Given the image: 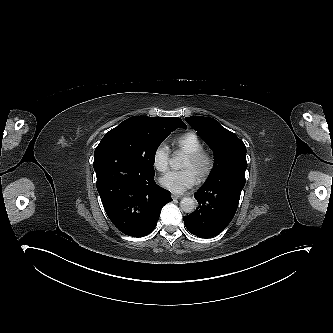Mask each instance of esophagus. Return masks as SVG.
I'll use <instances>...</instances> for the list:
<instances>
[{"label":"esophagus","instance_id":"34e87169","mask_svg":"<svg viewBox=\"0 0 333 333\" xmlns=\"http://www.w3.org/2000/svg\"><path fill=\"white\" fill-rule=\"evenodd\" d=\"M180 196H178V195H172V199L173 200H176V199H178Z\"/></svg>","mask_w":333,"mask_h":333}]
</instances>
